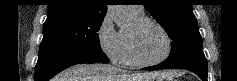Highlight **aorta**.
I'll list each match as a JSON object with an SVG mask.
<instances>
[{"label":"aorta","mask_w":237,"mask_h":81,"mask_svg":"<svg viewBox=\"0 0 237 81\" xmlns=\"http://www.w3.org/2000/svg\"><path fill=\"white\" fill-rule=\"evenodd\" d=\"M108 14L113 18L118 28L124 29L129 26L131 20L124 5H109Z\"/></svg>","instance_id":"1"}]
</instances>
